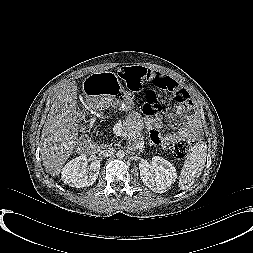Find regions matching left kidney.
I'll return each instance as SVG.
<instances>
[{"instance_id":"5707ae66","label":"left kidney","mask_w":253,"mask_h":253,"mask_svg":"<svg viewBox=\"0 0 253 253\" xmlns=\"http://www.w3.org/2000/svg\"><path fill=\"white\" fill-rule=\"evenodd\" d=\"M139 169L144 185L156 193L166 192L177 179L175 167L159 156H154L151 163L142 160Z\"/></svg>"}]
</instances>
